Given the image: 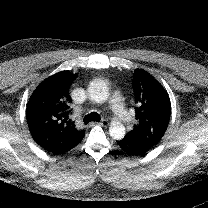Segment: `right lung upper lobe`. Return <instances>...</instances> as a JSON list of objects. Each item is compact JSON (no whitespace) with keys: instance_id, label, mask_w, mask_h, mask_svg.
Masks as SVG:
<instances>
[{"instance_id":"right-lung-upper-lobe-1","label":"right lung upper lobe","mask_w":208,"mask_h":208,"mask_svg":"<svg viewBox=\"0 0 208 208\" xmlns=\"http://www.w3.org/2000/svg\"><path fill=\"white\" fill-rule=\"evenodd\" d=\"M77 76L67 70L46 78L28 101L29 130L33 139L49 152L68 146L85 135L69 118L72 103L69 89Z\"/></svg>"}]
</instances>
